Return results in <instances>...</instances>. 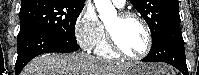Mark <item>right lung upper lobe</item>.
Instances as JSON below:
<instances>
[{
    "mask_svg": "<svg viewBox=\"0 0 199 75\" xmlns=\"http://www.w3.org/2000/svg\"><path fill=\"white\" fill-rule=\"evenodd\" d=\"M37 1H43V0H22L21 4L28 3V2H37ZM71 3H78V4H84L85 0H63Z\"/></svg>",
    "mask_w": 199,
    "mask_h": 75,
    "instance_id": "obj_1",
    "label": "right lung upper lobe"
}]
</instances>
